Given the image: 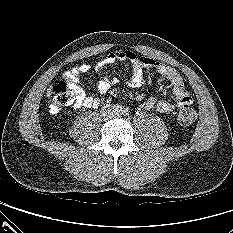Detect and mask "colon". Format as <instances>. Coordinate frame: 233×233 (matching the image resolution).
<instances>
[{
  "label": "colon",
  "instance_id": "obj_1",
  "mask_svg": "<svg viewBox=\"0 0 233 233\" xmlns=\"http://www.w3.org/2000/svg\"><path fill=\"white\" fill-rule=\"evenodd\" d=\"M76 98L75 92L65 82H59L52 87L50 111L58 113L62 108L71 105ZM197 117L195 109L191 104H185L181 107L178 119L181 124L189 125L195 121Z\"/></svg>",
  "mask_w": 233,
  "mask_h": 233
}]
</instances>
